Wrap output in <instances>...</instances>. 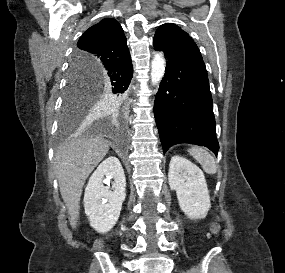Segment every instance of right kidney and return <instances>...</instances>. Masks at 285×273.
Here are the masks:
<instances>
[{
    "mask_svg": "<svg viewBox=\"0 0 285 273\" xmlns=\"http://www.w3.org/2000/svg\"><path fill=\"white\" fill-rule=\"evenodd\" d=\"M109 179H114L111 188L104 186ZM125 187L123 168L114 156L105 159L90 177L85 189L84 207L90 226L97 232L106 233L116 224L126 196Z\"/></svg>",
    "mask_w": 285,
    "mask_h": 273,
    "instance_id": "ca27d5eb",
    "label": "right kidney"
}]
</instances>
